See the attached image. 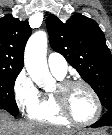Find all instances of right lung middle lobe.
<instances>
[{
    "instance_id": "right-lung-middle-lobe-1",
    "label": "right lung middle lobe",
    "mask_w": 112,
    "mask_h": 135,
    "mask_svg": "<svg viewBox=\"0 0 112 135\" xmlns=\"http://www.w3.org/2000/svg\"><path fill=\"white\" fill-rule=\"evenodd\" d=\"M20 71H0V109L18 114L14 98V83Z\"/></svg>"
}]
</instances>
